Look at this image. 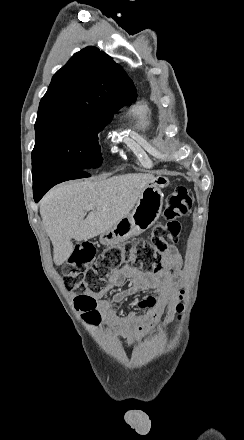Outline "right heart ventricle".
<instances>
[{
    "mask_svg": "<svg viewBox=\"0 0 244 440\" xmlns=\"http://www.w3.org/2000/svg\"><path fill=\"white\" fill-rule=\"evenodd\" d=\"M149 108L146 104L140 103L133 106L129 111V116L135 119V126L145 129L148 125Z\"/></svg>",
    "mask_w": 244,
    "mask_h": 440,
    "instance_id": "right-heart-ventricle-1",
    "label": "right heart ventricle"
}]
</instances>
